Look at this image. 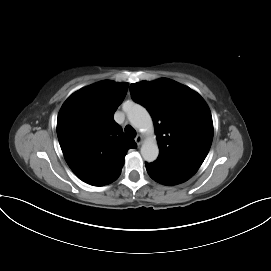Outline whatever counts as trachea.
Listing matches in <instances>:
<instances>
[{
	"label": "trachea",
	"instance_id": "3493384b",
	"mask_svg": "<svg viewBox=\"0 0 271 271\" xmlns=\"http://www.w3.org/2000/svg\"><path fill=\"white\" fill-rule=\"evenodd\" d=\"M125 133H126L127 136L132 137V138L136 136L135 129L130 125H127L125 127Z\"/></svg>",
	"mask_w": 271,
	"mask_h": 271
}]
</instances>
